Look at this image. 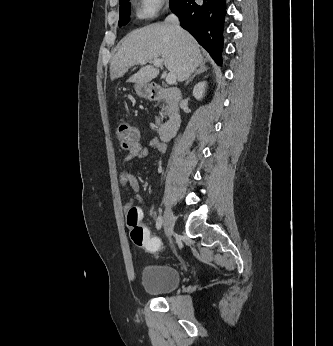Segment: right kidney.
<instances>
[{
    "instance_id": "obj_1",
    "label": "right kidney",
    "mask_w": 333,
    "mask_h": 346,
    "mask_svg": "<svg viewBox=\"0 0 333 346\" xmlns=\"http://www.w3.org/2000/svg\"><path fill=\"white\" fill-rule=\"evenodd\" d=\"M205 87H206V82H199L198 84H196L194 86L193 89V96L197 99V100H201L203 98L204 92H205Z\"/></svg>"
}]
</instances>
